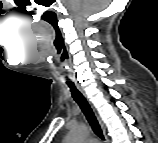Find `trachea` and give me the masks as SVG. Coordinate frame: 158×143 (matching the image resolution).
I'll list each match as a JSON object with an SVG mask.
<instances>
[{
    "label": "trachea",
    "instance_id": "obj_1",
    "mask_svg": "<svg viewBox=\"0 0 158 143\" xmlns=\"http://www.w3.org/2000/svg\"><path fill=\"white\" fill-rule=\"evenodd\" d=\"M67 85L69 86L71 90L74 100L77 102V104L80 106L81 110L83 111L84 115L86 116V119L88 120L94 133L97 136H99L101 139H104V136L102 134V130L97 121V118L93 110L91 109L89 103L87 102L86 98L76 89L73 83H67Z\"/></svg>",
    "mask_w": 158,
    "mask_h": 143
}]
</instances>
